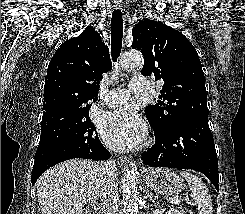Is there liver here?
Returning a JSON list of instances; mask_svg holds the SVG:
<instances>
[{"label":"liver","instance_id":"obj_1","mask_svg":"<svg viewBox=\"0 0 245 214\" xmlns=\"http://www.w3.org/2000/svg\"><path fill=\"white\" fill-rule=\"evenodd\" d=\"M102 163L74 159L56 165L38 179L41 214H75L100 196Z\"/></svg>","mask_w":245,"mask_h":214}]
</instances>
